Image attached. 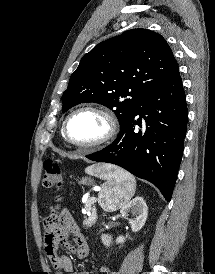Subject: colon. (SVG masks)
I'll list each match as a JSON object with an SVG mask.
<instances>
[{"label": "colon", "mask_w": 215, "mask_h": 274, "mask_svg": "<svg viewBox=\"0 0 215 274\" xmlns=\"http://www.w3.org/2000/svg\"><path fill=\"white\" fill-rule=\"evenodd\" d=\"M42 184L46 189L60 190L63 185L62 170L59 163L53 159L44 162V176Z\"/></svg>", "instance_id": "obj_1"}]
</instances>
